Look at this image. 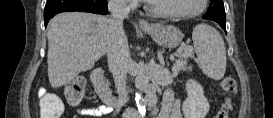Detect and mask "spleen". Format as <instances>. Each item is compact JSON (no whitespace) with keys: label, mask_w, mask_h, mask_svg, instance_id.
<instances>
[{"label":"spleen","mask_w":273,"mask_h":118,"mask_svg":"<svg viewBox=\"0 0 273 118\" xmlns=\"http://www.w3.org/2000/svg\"><path fill=\"white\" fill-rule=\"evenodd\" d=\"M192 39L203 73L214 80L222 79L226 70V49L219 32L212 26L199 24L192 32Z\"/></svg>","instance_id":"spleen-1"}]
</instances>
